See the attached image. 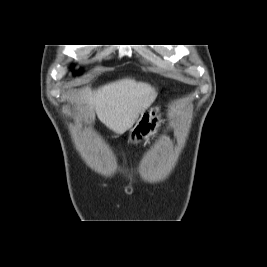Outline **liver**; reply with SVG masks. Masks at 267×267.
Masks as SVG:
<instances>
[{"instance_id": "6515ba94", "label": "liver", "mask_w": 267, "mask_h": 267, "mask_svg": "<svg viewBox=\"0 0 267 267\" xmlns=\"http://www.w3.org/2000/svg\"><path fill=\"white\" fill-rule=\"evenodd\" d=\"M157 92L148 83L124 78L81 95L88 105L90 123L99 120L116 134L129 130L140 114L155 101Z\"/></svg>"}]
</instances>
